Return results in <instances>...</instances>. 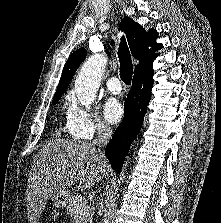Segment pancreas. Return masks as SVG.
Wrapping results in <instances>:
<instances>
[{"label":"pancreas","mask_w":221,"mask_h":223,"mask_svg":"<svg viewBox=\"0 0 221 223\" xmlns=\"http://www.w3.org/2000/svg\"><path fill=\"white\" fill-rule=\"evenodd\" d=\"M66 209L74 223H92L94 213L84 197H73Z\"/></svg>","instance_id":"cf45deb5"}]
</instances>
